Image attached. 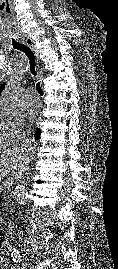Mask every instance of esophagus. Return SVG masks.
<instances>
[{
	"mask_svg": "<svg viewBox=\"0 0 118 269\" xmlns=\"http://www.w3.org/2000/svg\"><path fill=\"white\" fill-rule=\"evenodd\" d=\"M20 42L24 43L25 45H27L28 47L31 48V50L34 52V54L36 56V60L38 62L39 61L38 53H37L34 41L30 37H22V38H20Z\"/></svg>",
	"mask_w": 118,
	"mask_h": 269,
	"instance_id": "34e87169",
	"label": "esophagus"
}]
</instances>
